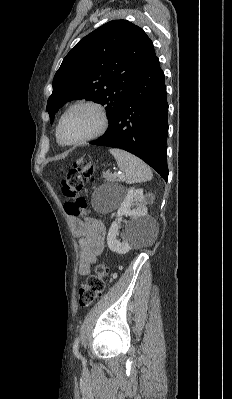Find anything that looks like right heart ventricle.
Listing matches in <instances>:
<instances>
[{
	"instance_id": "obj_1",
	"label": "right heart ventricle",
	"mask_w": 232,
	"mask_h": 399,
	"mask_svg": "<svg viewBox=\"0 0 232 399\" xmlns=\"http://www.w3.org/2000/svg\"><path fill=\"white\" fill-rule=\"evenodd\" d=\"M56 139H57V142H58V144L59 145H61V146H65V144H63L60 140H59V138H58V136H57V134H56Z\"/></svg>"
}]
</instances>
